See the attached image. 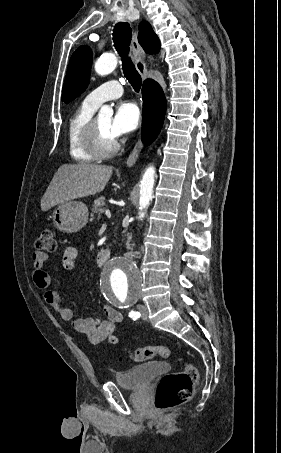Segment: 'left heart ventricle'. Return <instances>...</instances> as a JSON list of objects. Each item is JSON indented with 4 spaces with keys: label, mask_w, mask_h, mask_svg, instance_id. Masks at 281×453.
Here are the masks:
<instances>
[{
    "label": "left heart ventricle",
    "mask_w": 281,
    "mask_h": 453,
    "mask_svg": "<svg viewBox=\"0 0 281 453\" xmlns=\"http://www.w3.org/2000/svg\"><path fill=\"white\" fill-rule=\"evenodd\" d=\"M111 121V116L98 118V124L106 144H110V142L114 139L113 135L110 132Z\"/></svg>",
    "instance_id": "left-heart-ventricle-1"
}]
</instances>
